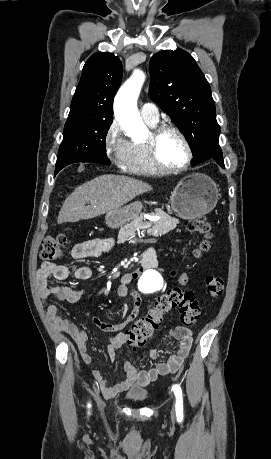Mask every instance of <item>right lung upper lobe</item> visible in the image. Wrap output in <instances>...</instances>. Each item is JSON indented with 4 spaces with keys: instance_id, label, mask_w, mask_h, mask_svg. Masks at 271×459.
Wrapping results in <instances>:
<instances>
[{
    "instance_id": "cb5924a9",
    "label": "right lung upper lobe",
    "mask_w": 271,
    "mask_h": 459,
    "mask_svg": "<svg viewBox=\"0 0 271 459\" xmlns=\"http://www.w3.org/2000/svg\"><path fill=\"white\" fill-rule=\"evenodd\" d=\"M122 79V63L111 53H95L85 63L69 116L113 117V98Z\"/></svg>"
}]
</instances>
